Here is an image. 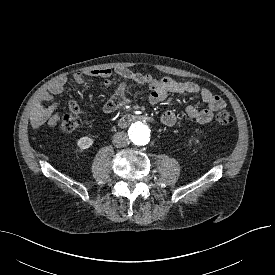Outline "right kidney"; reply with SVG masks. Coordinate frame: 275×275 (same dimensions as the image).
<instances>
[{"mask_svg":"<svg viewBox=\"0 0 275 275\" xmlns=\"http://www.w3.org/2000/svg\"><path fill=\"white\" fill-rule=\"evenodd\" d=\"M93 143H94L93 139L89 137H82L77 141V145L80 151L90 148L93 145Z\"/></svg>","mask_w":275,"mask_h":275,"instance_id":"1","label":"right kidney"}]
</instances>
